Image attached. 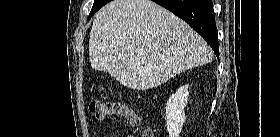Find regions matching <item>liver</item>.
I'll list each match as a JSON object with an SVG mask.
<instances>
[{
  "label": "liver",
  "instance_id": "obj_1",
  "mask_svg": "<svg viewBox=\"0 0 280 137\" xmlns=\"http://www.w3.org/2000/svg\"><path fill=\"white\" fill-rule=\"evenodd\" d=\"M91 67L122 85L146 90L213 60L206 41L186 22L150 0H114L94 19Z\"/></svg>",
  "mask_w": 280,
  "mask_h": 137
}]
</instances>
